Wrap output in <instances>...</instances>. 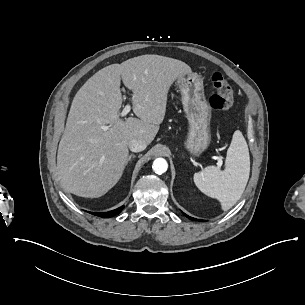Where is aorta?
<instances>
[{"label":"aorta","instance_id":"762f6f07","mask_svg":"<svg viewBox=\"0 0 305 305\" xmlns=\"http://www.w3.org/2000/svg\"><path fill=\"white\" fill-rule=\"evenodd\" d=\"M152 169L157 174H163L168 169V163L164 158H157L152 164Z\"/></svg>","mask_w":305,"mask_h":305}]
</instances>
